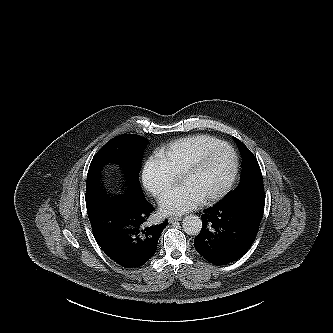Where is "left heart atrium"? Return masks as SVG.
I'll list each match as a JSON object with an SVG mask.
<instances>
[{
  "label": "left heart atrium",
  "instance_id": "left-heart-atrium-1",
  "mask_svg": "<svg viewBox=\"0 0 333 333\" xmlns=\"http://www.w3.org/2000/svg\"><path fill=\"white\" fill-rule=\"evenodd\" d=\"M202 196L187 184L167 191L160 199V209L165 214H182L197 207Z\"/></svg>",
  "mask_w": 333,
  "mask_h": 333
}]
</instances>
